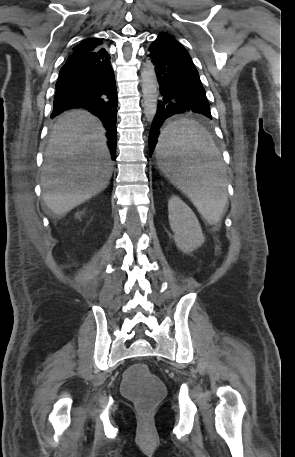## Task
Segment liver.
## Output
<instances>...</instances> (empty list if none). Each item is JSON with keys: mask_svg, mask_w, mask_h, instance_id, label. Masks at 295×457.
Here are the masks:
<instances>
[{"mask_svg": "<svg viewBox=\"0 0 295 457\" xmlns=\"http://www.w3.org/2000/svg\"><path fill=\"white\" fill-rule=\"evenodd\" d=\"M42 167L46 206L62 216L102 192L112 176L105 129L85 110L63 113L53 127Z\"/></svg>", "mask_w": 295, "mask_h": 457, "instance_id": "obj_1", "label": "liver"}]
</instances>
